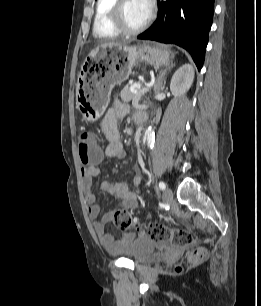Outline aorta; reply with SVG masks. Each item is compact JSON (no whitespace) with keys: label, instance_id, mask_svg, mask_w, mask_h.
<instances>
[{"label":"aorta","instance_id":"762f6f07","mask_svg":"<svg viewBox=\"0 0 261 306\" xmlns=\"http://www.w3.org/2000/svg\"><path fill=\"white\" fill-rule=\"evenodd\" d=\"M154 138L155 134L151 127L148 128L147 132V144L149 147H152L154 145Z\"/></svg>","mask_w":261,"mask_h":306}]
</instances>
